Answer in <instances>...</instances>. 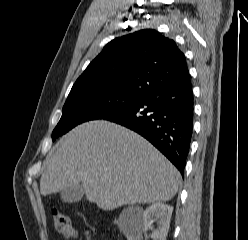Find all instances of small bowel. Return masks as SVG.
I'll list each match as a JSON object with an SVG mask.
<instances>
[{
    "instance_id": "obj_1",
    "label": "small bowel",
    "mask_w": 248,
    "mask_h": 240,
    "mask_svg": "<svg viewBox=\"0 0 248 240\" xmlns=\"http://www.w3.org/2000/svg\"><path fill=\"white\" fill-rule=\"evenodd\" d=\"M85 239L86 240H92L91 234L88 230L85 231Z\"/></svg>"
}]
</instances>
